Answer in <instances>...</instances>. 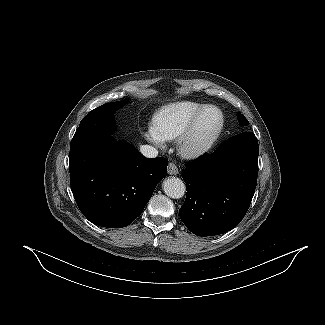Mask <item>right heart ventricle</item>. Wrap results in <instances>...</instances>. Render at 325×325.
I'll list each match as a JSON object with an SVG mask.
<instances>
[{"label": "right heart ventricle", "instance_id": "obj_1", "mask_svg": "<svg viewBox=\"0 0 325 325\" xmlns=\"http://www.w3.org/2000/svg\"><path fill=\"white\" fill-rule=\"evenodd\" d=\"M205 106L207 105L194 101L169 104L155 115L152 129L163 140H173L181 135L193 117Z\"/></svg>", "mask_w": 325, "mask_h": 325}]
</instances>
